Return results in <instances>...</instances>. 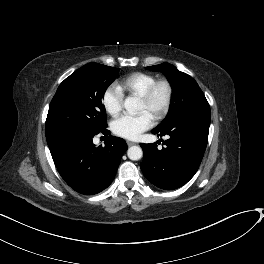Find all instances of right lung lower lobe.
<instances>
[{
	"instance_id": "98d812e1",
	"label": "right lung lower lobe",
	"mask_w": 264,
	"mask_h": 264,
	"mask_svg": "<svg viewBox=\"0 0 264 264\" xmlns=\"http://www.w3.org/2000/svg\"><path fill=\"white\" fill-rule=\"evenodd\" d=\"M101 133L110 132L105 127ZM95 135L64 132L47 138L59 174L72 189L85 195L97 194L111 184L127 150L125 140L114 136L108 137L105 146L96 147Z\"/></svg>"
}]
</instances>
